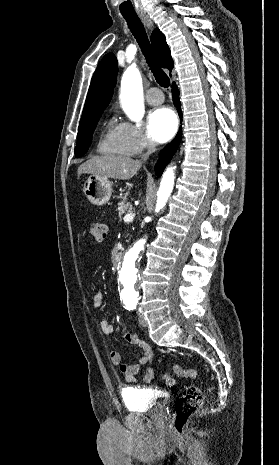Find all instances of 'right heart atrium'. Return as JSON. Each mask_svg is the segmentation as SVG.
I'll return each instance as SVG.
<instances>
[{
	"mask_svg": "<svg viewBox=\"0 0 279 465\" xmlns=\"http://www.w3.org/2000/svg\"><path fill=\"white\" fill-rule=\"evenodd\" d=\"M124 139L132 154H138L153 147L147 135L132 123L121 124Z\"/></svg>",
	"mask_w": 279,
	"mask_h": 465,
	"instance_id": "1",
	"label": "right heart atrium"
}]
</instances>
